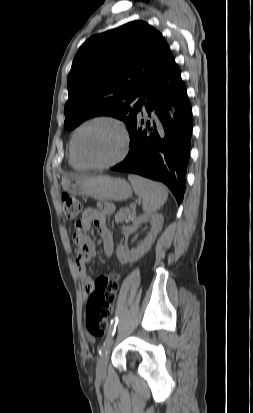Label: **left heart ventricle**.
<instances>
[{"label": "left heart ventricle", "instance_id": "left-heart-ventricle-1", "mask_svg": "<svg viewBox=\"0 0 253 413\" xmlns=\"http://www.w3.org/2000/svg\"><path fill=\"white\" fill-rule=\"evenodd\" d=\"M79 157L91 164L103 163L116 157L121 149L117 130L107 123H95L84 128L77 137Z\"/></svg>", "mask_w": 253, "mask_h": 413}]
</instances>
